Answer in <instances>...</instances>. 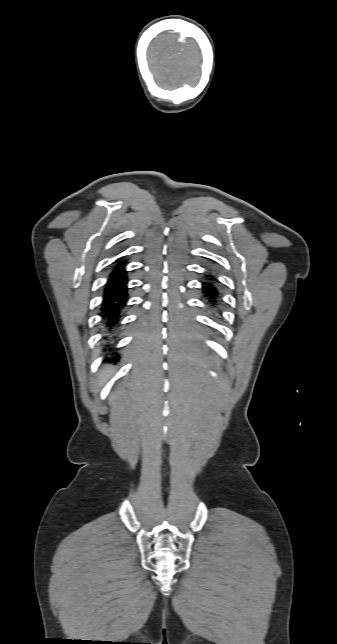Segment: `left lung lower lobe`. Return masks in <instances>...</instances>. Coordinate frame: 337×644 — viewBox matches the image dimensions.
Returning a JSON list of instances; mask_svg holds the SVG:
<instances>
[{"instance_id":"left-lung-lower-lobe-1","label":"left lung lower lobe","mask_w":337,"mask_h":644,"mask_svg":"<svg viewBox=\"0 0 337 644\" xmlns=\"http://www.w3.org/2000/svg\"><path fill=\"white\" fill-rule=\"evenodd\" d=\"M204 277L205 281L202 282V293L206 299V304L216 310L221 302V294L217 285L219 281L210 270L205 273Z\"/></svg>"}]
</instances>
